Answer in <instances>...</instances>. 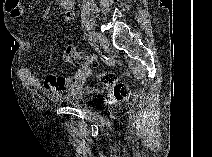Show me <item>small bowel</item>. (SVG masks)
I'll return each instance as SVG.
<instances>
[{"label":"small bowel","instance_id":"c3829d8e","mask_svg":"<svg viewBox=\"0 0 212 157\" xmlns=\"http://www.w3.org/2000/svg\"><path fill=\"white\" fill-rule=\"evenodd\" d=\"M61 8L64 12L65 19L71 20L74 14L75 0H62L60 2ZM5 8L12 18H18L23 14L24 6L20 0H7ZM31 48L30 42H24L23 50L29 51ZM22 76L26 83L32 87L44 90L50 97H59L65 92L74 91L83 86L84 82H79L73 77L49 75L44 81H41L37 71L33 67L22 69ZM89 76V71H88Z\"/></svg>","mask_w":212,"mask_h":157}]
</instances>
